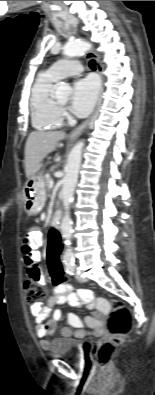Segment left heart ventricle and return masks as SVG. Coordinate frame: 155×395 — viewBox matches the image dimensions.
I'll list each match as a JSON object with an SVG mask.
<instances>
[{
	"mask_svg": "<svg viewBox=\"0 0 155 395\" xmlns=\"http://www.w3.org/2000/svg\"><path fill=\"white\" fill-rule=\"evenodd\" d=\"M60 104L64 105L67 102V98H59L57 100Z\"/></svg>",
	"mask_w": 155,
	"mask_h": 395,
	"instance_id": "1",
	"label": "left heart ventricle"
}]
</instances>
